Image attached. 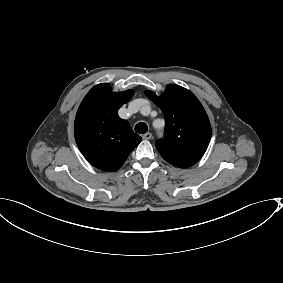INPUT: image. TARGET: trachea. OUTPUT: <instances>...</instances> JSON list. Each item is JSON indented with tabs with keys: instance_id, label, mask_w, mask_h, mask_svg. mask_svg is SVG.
<instances>
[{
	"instance_id": "obj_1",
	"label": "trachea",
	"mask_w": 283,
	"mask_h": 283,
	"mask_svg": "<svg viewBox=\"0 0 283 283\" xmlns=\"http://www.w3.org/2000/svg\"><path fill=\"white\" fill-rule=\"evenodd\" d=\"M135 131L139 134H144L148 131V126L146 123L144 122H139L138 124H136L135 126Z\"/></svg>"
}]
</instances>
